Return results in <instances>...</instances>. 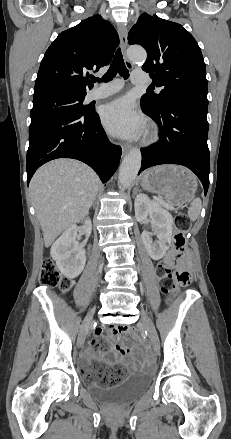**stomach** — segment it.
I'll return each instance as SVG.
<instances>
[{"mask_svg": "<svg viewBox=\"0 0 231 439\" xmlns=\"http://www.w3.org/2000/svg\"><path fill=\"white\" fill-rule=\"evenodd\" d=\"M196 176L177 165L153 167L141 176V186L162 196L172 206L184 205L196 192Z\"/></svg>", "mask_w": 231, "mask_h": 439, "instance_id": "obj_1", "label": "stomach"}]
</instances>
